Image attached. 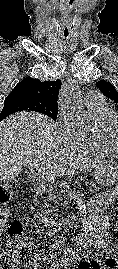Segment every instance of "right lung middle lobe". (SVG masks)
<instances>
[{"mask_svg":"<svg viewBox=\"0 0 118 269\" xmlns=\"http://www.w3.org/2000/svg\"><path fill=\"white\" fill-rule=\"evenodd\" d=\"M22 110L35 111L47 115L54 121L57 118V105H42L24 95H8L0 113V120Z\"/></svg>","mask_w":118,"mask_h":269,"instance_id":"obj_1","label":"right lung middle lobe"}]
</instances>
